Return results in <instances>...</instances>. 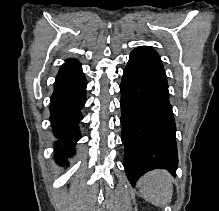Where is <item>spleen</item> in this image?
<instances>
[{
	"instance_id": "3e777b00",
	"label": "spleen",
	"mask_w": 219,
	"mask_h": 211,
	"mask_svg": "<svg viewBox=\"0 0 219 211\" xmlns=\"http://www.w3.org/2000/svg\"><path fill=\"white\" fill-rule=\"evenodd\" d=\"M172 177L166 169H153L142 175L138 181L141 197L154 203V205H166L172 199Z\"/></svg>"
}]
</instances>
